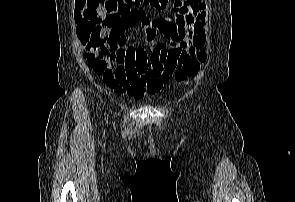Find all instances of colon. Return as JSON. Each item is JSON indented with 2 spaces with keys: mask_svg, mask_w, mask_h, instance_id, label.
Returning a JSON list of instances; mask_svg holds the SVG:
<instances>
[{
  "mask_svg": "<svg viewBox=\"0 0 295 202\" xmlns=\"http://www.w3.org/2000/svg\"><path fill=\"white\" fill-rule=\"evenodd\" d=\"M106 11V18L98 23H90L81 19L79 35L81 41L91 49V47H108L111 33L106 31L113 26L114 19L123 18L133 12L136 4L156 5L163 7L167 0H101ZM177 64H169L167 73L169 76H175L177 81H184L187 78L194 77L198 74L200 66L207 59L205 52H192L188 57L181 55ZM107 63V62H106ZM181 65V68L178 66ZM108 77H115L108 75Z\"/></svg>",
  "mask_w": 295,
  "mask_h": 202,
  "instance_id": "5ec220e1",
  "label": "colon"
}]
</instances>
